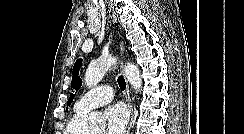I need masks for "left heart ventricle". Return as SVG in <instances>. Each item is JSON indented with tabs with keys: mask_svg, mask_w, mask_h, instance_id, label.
Segmentation results:
<instances>
[{
	"mask_svg": "<svg viewBox=\"0 0 244 134\" xmlns=\"http://www.w3.org/2000/svg\"><path fill=\"white\" fill-rule=\"evenodd\" d=\"M92 134H104L103 129L96 130Z\"/></svg>",
	"mask_w": 244,
	"mask_h": 134,
	"instance_id": "1",
	"label": "left heart ventricle"
}]
</instances>
